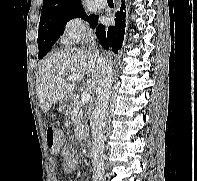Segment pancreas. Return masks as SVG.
I'll return each instance as SVG.
<instances>
[{"label": "pancreas", "instance_id": "pancreas-1", "mask_svg": "<svg viewBox=\"0 0 197 181\" xmlns=\"http://www.w3.org/2000/svg\"><path fill=\"white\" fill-rule=\"evenodd\" d=\"M72 124L75 127V136L78 141L87 140L89 138V127L87 125V114L83 111L81 103L71 111Z\"/></svg>", "mask_w": 197, "mask_h": 181}]
</instances>
